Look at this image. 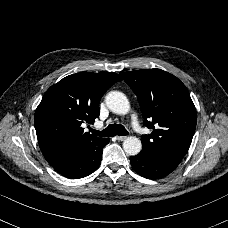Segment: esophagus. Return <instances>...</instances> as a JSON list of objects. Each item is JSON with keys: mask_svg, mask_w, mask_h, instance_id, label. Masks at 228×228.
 <instances>
[{"mask_svg": "<svg viewBox=\"0 0 228 228\" xmlns=\"http://www.w3.org/2000/svg\"><path fill=\"white\" fill-rule=\"evenodd\" d=\"M116 138L118 141H124L126 139V136H117Z\"/></svg>", "mask_w": 228, "mask_h": 228, "instance_id": "34e87169", "label": "esophagus"}]
</instances>
